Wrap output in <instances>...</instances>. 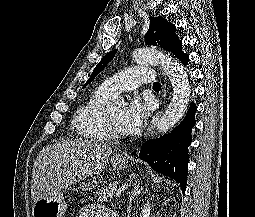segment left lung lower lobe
<instances>
[{
    "instance_id": "left-lung-lower-lobe-1",
    "label": "left lung lower lobe",
    "mask_w": 255,
    "mask_h": 217,
    "mask_svg": "<svg viewBox=\"0 0 255 217\" xmlns=\"http://www.w3.org/2000/svg\"><path fill=\"white\" fill-rule=\"evenodd\" d=\"M174 55L187 65L189 57L181 48ZM195 112L196 105L192 102L184 120L171 133L148 140L138 154L153 170L177 181L183 193L186 189L189 160L187 150L191 144V130L195 126ZM132 155H136V151Z\"/></svg>"
}]
</instances>
